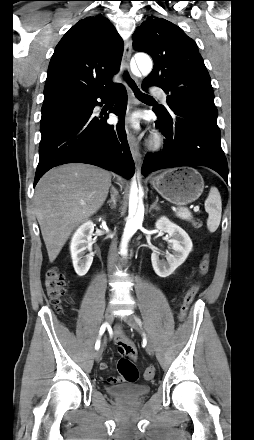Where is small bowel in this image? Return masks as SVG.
Masks as SVG:
<instances>
[{
	"instance_id": "1",
	"label": "small bowel",
	"mask_w": 254,
	"mask_h": 440,
	"mask_svg": "<svg viewBox=\"0 0 254 440\" xmlns=\"http://www.w3.org/2000/svg\"><path fill=\"white\" fill-rule=\"evenodd\" d=\"M113 339L115 344L117 345L118 352L121 355H127L131 359H136L137 357V348L134 343L123 333L120 327H117L113 333ZM101 370H106L108 368V364L106 362H102L100 364ZM123 378L110 376L107 378V382L109 384H117L123 382Z\"/></svg>"
}]
</instances>
